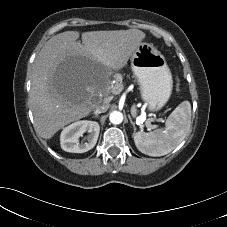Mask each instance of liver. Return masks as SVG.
I'll return each mask as SVG.
<instances>
[{"label": "liver", "instance_id": "1", "mask_svg": "<svg viewBox=\"0 0 227 227\" xmlns=\"http://www.w3.org/2000/svg\"><path fill=\"white\" fill-rule=\"evenodd\" d=\"M78 31H65L49 39L32 67L30 91L31 110L36 132L44 139L71 122L89 115L94 105L95 93L107 96L109 88L94 77L96 64L108 69H122L145 38L138 29L114 31H89L82 33V43L77 42ZM68 54L82 57L89 68V84L86 91L75 98L61 95L54 84V68L57 61Z\"/></svg>", "mask_w": 227, "mask_h": 227}]
</instances>
